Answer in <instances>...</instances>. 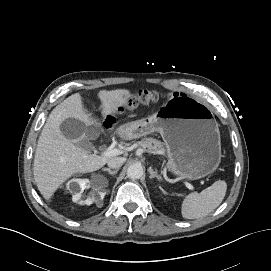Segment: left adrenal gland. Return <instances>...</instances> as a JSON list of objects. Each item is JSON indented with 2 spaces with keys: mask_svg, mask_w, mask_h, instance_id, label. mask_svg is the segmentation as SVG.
<instances>
[{
  "mask_svg": "<svg viewBox=\"0 0 271 271\" xmlns=\"http://www.w3.org/2000/svg\"><path fill=\"white\" fill-rule=\"evenodd\" d=\"M148 172L150 173V178H156L158 181H162V177L157 174V170L154 171L151 167L148 169Z\"/></svg>",
  "mask_w": 271,
  "mask_h": 271,
  "instance_id": "1",
  "label": "left adrenal gland"
}]
</instances>
